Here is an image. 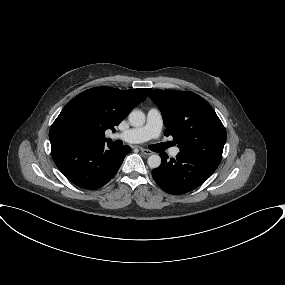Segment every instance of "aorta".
<instances>
[{"instance_id": "1", "label": "aorta", "mask_w": 285, "mask_h": 285, "mask_svg": "<svg viewBox=\"0 0 285 285\" xmlns=\"http://www.w3.org/2000/svg\"><path fill=\"white\" fill-rule=\"evenodd\" d=\"M129 122L134 127H140L145 123V114L141 110H133L128 116ZM147 163L150 168L155 169L161 165V157L153 154L148 157Z\"/></svg>"}]
</instances>
